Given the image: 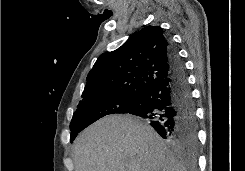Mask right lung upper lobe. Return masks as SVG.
Returning a JSON list of instances; mask_svg holds the SVG:
<instances>
[{"label": "right lung upper lobe", "instance_id": "right-lung-upper-lobe-1", "mask_svg": "<svg viewBox=\"0 0 245 171\" xmlns=\"http://www.w3.org/2000/svg\"><path fill=\"white\" fill-rule=\"evenodd\" d=\"M170 40L159 26H146L121 47L103 53L87 76L84 100L140 96L170 74Z\"/></svg>", "mask_w": 245, "mask_h": 171}]
</instances>
